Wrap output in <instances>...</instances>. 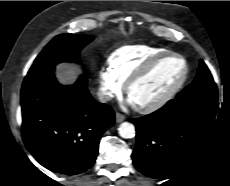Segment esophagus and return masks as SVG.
Here are the masks:
<instances>
[{"label": "esophagus", "instance_id": "1", "mask_svg": "<svg viewBox=\"0 0 230 186\" xmlns=\"http://www.w3.org/2000/svg\"><path fill=\"white\" fill-rule=\"evenodd\" d=\"M124 119H125V116H124L123 114H121V113H116V115H115V120H116V122L120 123V122H122Z\"/></svg>", "mask_w": 230, "mask_h": 186}]
</instances>
